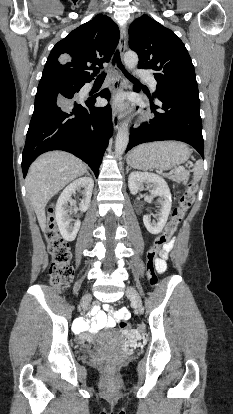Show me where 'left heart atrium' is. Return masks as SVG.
I'll return each mask as SVG.
<instances>
[{
    "instance_id": "obj_1",
    "label": "left heart atrium",
    "mask_w": 233,
    "mask_h": 414,
    "mask_svg": "<svg viewBox=\"0 0 233 414\" xmlns=\"http://www.w3.org/2000/svg\"><path fill=\"white\" fill-rule=\"evenodd\" d=\"M117 102H119L121 100V97H118L117 99H115Z\"/></svg>"
}]
</instances>
